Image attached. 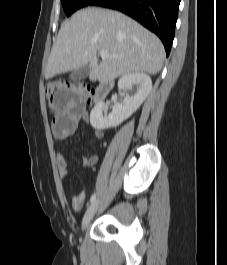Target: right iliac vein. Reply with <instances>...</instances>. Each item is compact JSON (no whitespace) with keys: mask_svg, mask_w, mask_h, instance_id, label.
Returning <instances> with one entry per match:
<instances>
[{"mask_svg":"<svg viewBox=\"0 0 227 265\" xmlns=\"http://www.w3.org/2000/svg\"><path fill=\"white\" fill-rule=\"evenodd\" d=\"M99 206V200L94 201L87 209L83 220H82V226L85 227L88 225V223L92 220V218L94 217L97 209Z\"/></svg>","mask_w":227,"mask_h":265,"instance_id":"63e3f726","label":"right iliac vein"}]
</instances>
